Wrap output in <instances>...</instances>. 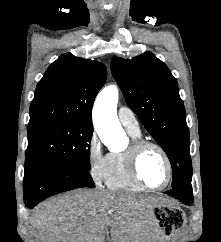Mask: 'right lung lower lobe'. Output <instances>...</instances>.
Here are the masks:
<instances>
[{"mask_svg":"<svg viewBox=\"0 0 221 242\" xmlns=\"http://www.w3.org/2000/svg\"><path fill=\"white\" fill-rule=\"evenodd\" d=\"M82 187H95L87 170L49 160L25 163L24 203L30 209L50 196Z\"/></svg>","mask_w":221,"mask_h":242,"instance_id":"obj_1","label":"right lung lower lobe"}]
</instances>
